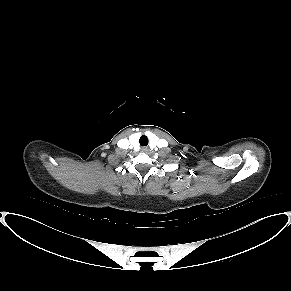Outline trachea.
Segmentation results:
<instances>
[{"label": "trachea", "instance_id": "1", "mask_svg": "<svg viewBox=\"0 0 291 291\" xmlns=\"http://www.w3.org/2000/svg\"><path fill=\"white\" fill-rule=\"evenodd\" d=\"M139 143H140V146H142V147L147 146L148 145V137L145 135H142L139 139Z\"/></svg>", "mask_w": 291, "mask_h": 291}]
</instances>
